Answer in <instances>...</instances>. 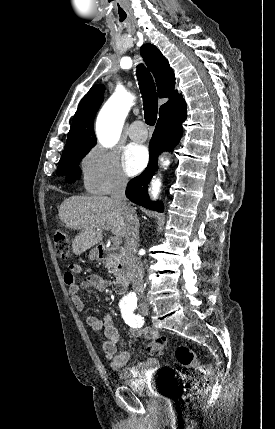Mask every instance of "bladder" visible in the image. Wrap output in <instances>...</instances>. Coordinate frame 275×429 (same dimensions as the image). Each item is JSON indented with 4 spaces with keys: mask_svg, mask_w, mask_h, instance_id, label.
I'll list each match as a JSON object with an SVG mask.
<instances>
[{
    "mask_svg": "<svg viewBox=\"0 0 275 429\" xmlns=\"http://www.w3.org/2000/svg\"><path fill=\"white\" fill-rule=\"evenodd\" d=\"M130 393L136 398H148L149 403H178V383L175 377L131 378Z\"/></svg>",
    "mask_w": 275,
    "mask_h": 429,
    "instance_id": "1",
    "label": "bladder"
}]
</instances>
